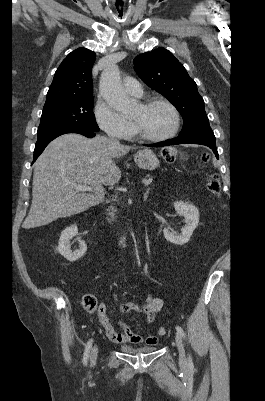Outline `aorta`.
<instances>
[{
	"label": "aorta",
	"instance_id": "obj_1",
	"mask_svg": "<svg viewBox=\"0 0 265 401\" xmlns=\"http://www.w3.org/2000/svg\"><path fill=\"white\" fill-rule=\"evenodd\" d=\"M100 92L115 110H121V112L128 110L130 100L121 84L120 70L117 64H112L103 70L100 78ZM131 235L134 237L133 233Z\"/></svg>",
	"mask_w": 265,
	"mask_h": 401
}]
</instances>
